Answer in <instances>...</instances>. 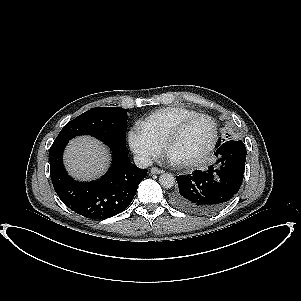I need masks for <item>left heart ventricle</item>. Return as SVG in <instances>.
Here are the masks:
<instances>
[{
	"label": "left heart ventricle",
	"instance_id": "left-heart-ventricle-1",
	"mask_svg": "<svg viewBox=\"0 0 301 301\" xmlns=\"http://www.w3.org/2000/svg\"><path fill=\"white\" fill-rule=\"evenodd\" d=\"M211 137L210 122L204 119L196 120L172 143L169 154L176 156L184 163L195 160L205 152Z\"/></svg>",
	"mask_w": 301,
	"mask_h": 301
}]
</instances>
